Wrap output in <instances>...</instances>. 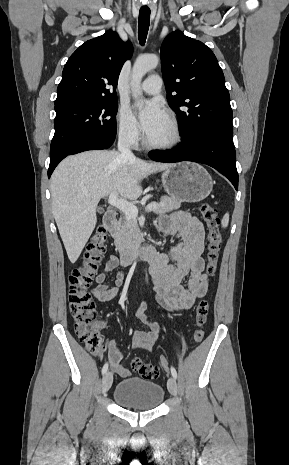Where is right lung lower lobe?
I'll return each mask as SVG.
<instances>
[{"label":"right lung lower lobe","mask_w":289,"mask_h":465,"mask_svg":"<svg viewBox=\"0 0 289 465\" xmlns=\"http://www.w3.org/2000/svg\"><path fill=\"white\" fill-rule=\"evenodd\" d=\"M114 137H105V138H93L84 140L72 148H69L53 158H50V165L48 169V178H50L52 172L54 171L55 167L58 163L64 159L68 155L76 154L79 152L87 151V150H102L110 147L114 142Z\"/></svg>","instance_id":"right-lung-lower-lobe-1"}]
</instances>
